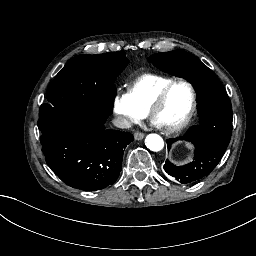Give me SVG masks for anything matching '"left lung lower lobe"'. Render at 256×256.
<instances>
[{
    "mask_svg": "<svg viewBox=\"0 0 256 256\" xmlns=\"http://www.w3.org/2000/svg\"><path fill=\"white\" fill-rule=\"evenodd\" d=\"M169 175L176 178V180L180 181L181 183H194L202 179L204 176H193V175H181L168 172Z\"/></svg>",
    "mask_w": 256,
    "mask_h": 256,
    "instance_id": "left-lung-lower-lobe-1",
    "label": "left lung lower lobe"
}]
</instances>
